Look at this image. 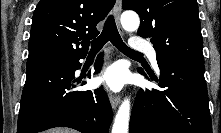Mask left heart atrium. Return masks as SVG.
<instances>
[{"instance_id":"obj_1","label":"left heart atrium","mask_w":221,"mask_h":133,"mask_svg":"<svg viewBox=\"0 0 221 133\" xmlns=\"http://www.w3.org/2000/svg\"><path fill=\"white\" fill-rule=\"evenodd\" d=\"M126 82V72L119 65L108 67L98 78V83L106 86L110 90H120Z\"/></svg>"}]
</instances>
